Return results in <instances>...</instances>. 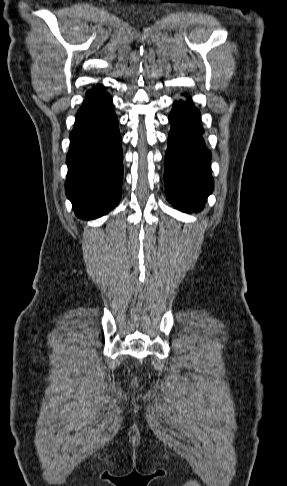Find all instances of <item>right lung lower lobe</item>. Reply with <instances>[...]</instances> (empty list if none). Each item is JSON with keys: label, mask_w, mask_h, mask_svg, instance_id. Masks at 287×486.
I'll return each mask as SVG.
<instances>
[{"label": "right lung lower lobe", "mask_w": 287, "mask_h": 486, "mask_svg": "<svg viewBox=\"0 0 287 486\" xmlns=\"http://www.w3.org/2000/svg\"><path fill=\"white\" fill-rule=\"evenodd\" d=\"M122 161L112 98L99 84L87 91L70 133L65 190L78 217L103 216L119 203Z\"/></svg>", "instance_id": "right-lung-lower-lobe-1"}]
</instances>
